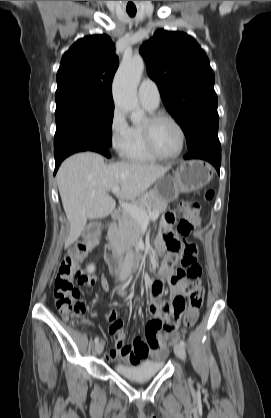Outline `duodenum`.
Listing matches in <instances>:
<instances>
[{
	"label": "duodenum",
	"instance_id": "1",
	"mask_svg": "<svg viewBox=\"0 0 271 418\" xmlns=\"http://www.w3.org/2000/svg\"><path fill=\"white\" fill-rule=\"evenodd\" d=\"M119 213L113 212L111 214L112 223L119 219ZM105 260L111 272L117 273L125 266L129 267L130 270H137L142 264V254L140 251L132 253L130 256L125 257L123 251L119 247L114 227L111 225L109 229V242L105 246Z\"/></svg>",
	"mask_w": 271,
	"mask_h": 418
}]
</instances>
